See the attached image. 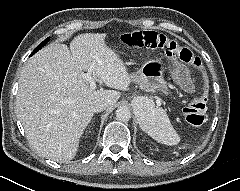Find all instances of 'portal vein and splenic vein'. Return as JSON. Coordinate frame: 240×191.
Listing matches in <instances>:
<instances>
[{"label": "portal vein and splenic vein", "instance_id": "1", "mask_svg": "<svg viewBox=\"0 0 240 191\" xmlns=\"http://www.w3.org/2000/svg\"><path fill=\"white\" fill-rule=\"evenodd\" d=\"M83 78L90 83V87H89L90 91H93L96 89V81L94 80V78L91 76L90 73L84 74ZM69 102H70L69 100H65V103H69Z\"/></svg>", "mask_w": 240, "mask_h": 191}]
</instances>
